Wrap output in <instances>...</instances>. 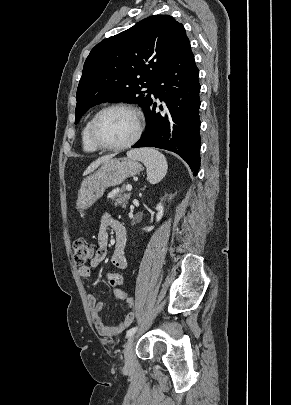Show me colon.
Listing matches in <instances>:
<instances>
[{
  "label": "colon",
  "instance_id": "5ec220e1",
  "mask_svg": "<svg viewBox=\"0 0 291 405\" xmlns=\"http://www.w3.org/2000/svg\"><path fill=\"white\" fill-rule=\"evenodd\" d=\"M74 263L78 267L85 266L93 257V247L83 239H76L73 243ZM106 280L112 287H119L122 284V276L115 271L106 272Z\"/></svg>",
  "mask_w": 291,
  "mask_h": 405
}]
</instances>
